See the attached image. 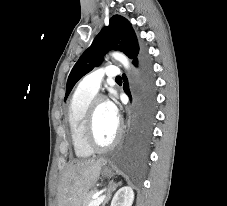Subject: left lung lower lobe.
<instances>
[{
	"mask_svg": "<svg viewBox=\"0 0 227 206\" xmlns=\"http://www.w3.org/2000/svg\"><path fill=\"white\" fill-rule=\"evenodd\" d=\"M139 70L140 78V115L134 147L141 152L152 138V129L155 117V84L151 64L143 52L138 60L133 62ZM124 91L130 95L127 78L123 75Z\"/></svg>",
	"mask_w": 227,
	"mask_h": 206,
	"instance_id": "left-lung-lower-lobe-1",
	"label": "left lung lower lobe"
}]
</instances>
